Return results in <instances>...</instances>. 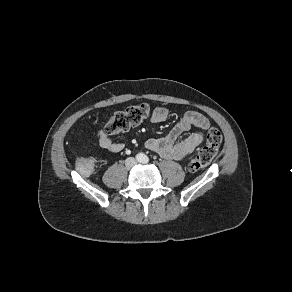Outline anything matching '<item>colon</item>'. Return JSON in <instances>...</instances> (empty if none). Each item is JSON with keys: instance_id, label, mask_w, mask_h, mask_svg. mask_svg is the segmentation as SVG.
Instances as JSON below:
<instances>
[{"instance_id": "obj_1", "label": "colon", "mask_w": 292, "mask_h": 292, "mask_svg": "<svg viewBox=\"0 0 292 292\" xmlns=\"http://www.w3.org/2000/svg\"><path fill=\"white\" fill-rule=\"evenodd\" d=\"M150 115V108L146 104L129 106L116 112L107 122L105 132L117 134L139 125ZM222 143V135L217 128H211L207 134V142L191 159L189 168L198 171L208 166L217 154ZM95 167V161L91 157H80L77 161V169L84 175L90 174Z\"/></svg>"}]
</instances>
